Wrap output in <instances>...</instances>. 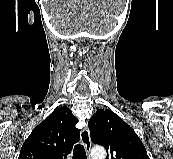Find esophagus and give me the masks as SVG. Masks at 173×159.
Wrapping results in <instances>:
<instances>
[{"mask_svg": "<svg viewBox=\"0 0 173 159\" xmlns=\"http://www.w3.org/2000/svg\"><path fill=\"white\" fill-rule=\"evenodd\" d=\"M81 143L84 145L85 150L87 153L91 150V139H90V132L88 127H85L80 134Z\"/></svg>", "mask_w": 173, "mask_h": 159, "instance_id": "obj_1", "label": "esophagus"}]
</instances>
